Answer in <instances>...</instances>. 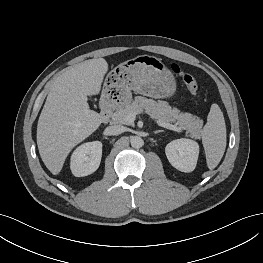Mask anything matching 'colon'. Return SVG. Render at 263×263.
<instances>
[{
    "mask_svg": "<svg viewBox=\"0 0 263 263\" xmlns=\"http://www.w3.org/2000/svg\"><path fill=\"white\" fill-rule=\"evenodd\" d=\"M171 69L193 94H198L199 85L196 78L192 74L183 71L177 64H172Z\"/></svg>",
    "mask_w": 263,
    "mask_h": 263,
    "instance_id": "obj_1",
    "label": "colon"
}]
</instances>
